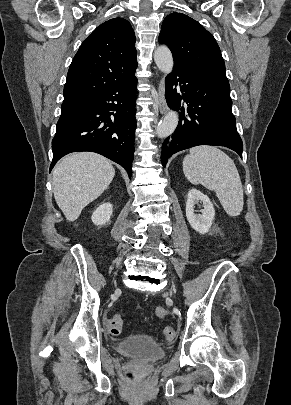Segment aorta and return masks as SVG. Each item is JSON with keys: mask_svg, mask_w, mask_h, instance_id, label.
Returning <instances> with one entry per match:
<instances>
[{"mask_svg": "<svg viewBox=\"0 0 291 405\" xmlns=\"http://www.w3.org/2000/svg\"><path fill=\"white\" fill-rule=\"evenodd\" d=\"M154 60L159 70L169 74L173 69L172 53L167 46H159L154 52ZM178 114L171 110L160 121L156 127V134L159 138L171 135L178 125Z\"/></svg>", "mask_w": 291, "mask_h": 405, "instance_id": "762f6f07", "label": "aorta"}]
</instances>
